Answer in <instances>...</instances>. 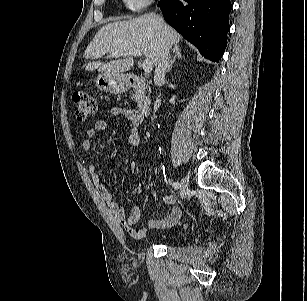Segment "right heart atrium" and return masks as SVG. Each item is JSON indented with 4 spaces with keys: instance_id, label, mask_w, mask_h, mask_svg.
<instances>
[{
    "instance_id": "right-heart-atrium-1",
    "label": "right heart atrium",
    "mask_w": 307,
    "mask_h": 301,
    "mask_svg": "<svg viewBox=\"0 0 307 301\" xmlns=\"http://www.w3.org/2000/svg\"><path fill=\"white\" fill-rule=\"evenodd\" d=\"M152 0H124L125 4L133 10H140L151 3Z\"/></svg>"
}]
</instances>
